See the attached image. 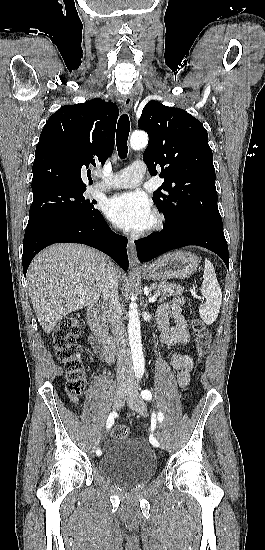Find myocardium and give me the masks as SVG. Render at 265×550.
Wrapping results in <instances>:
<instances>
[{"label": "myocardium", "mask_w": 265, "mask_h": 550, "mask_svg": "<svg viewBox=\"0 0 265 550\" xmlns=\"http://www.w3.org/2000/svg\"><path fill=\"white\" fill-rule=\"evenodd\" d=\"M163 225H164L163 216L158 212H154L152 214L150 224L146 227V229H144V233L145 234L154 233V232L160 230L163 227Z\"/></svg>", "instance_id": "f54148a6"}]
</instances>
